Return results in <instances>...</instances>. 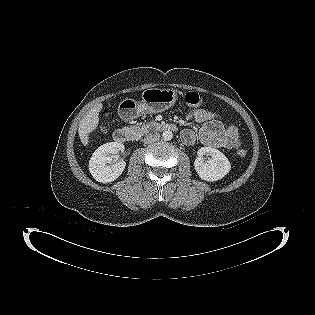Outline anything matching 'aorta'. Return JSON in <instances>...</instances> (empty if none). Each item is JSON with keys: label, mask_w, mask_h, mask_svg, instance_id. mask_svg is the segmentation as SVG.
<instances>
[{"label": "aorta", "mask_w": 315, "mask_h": 315, "mask_svg": "<svg viewBox=\"0 0 315 315\" xmlns=\"http://www.w3.org/2000/svg\"><path fill=\"white\" fill-rule=\"evenodd\" d=\"M164 140H171L173 138V134L170 130H166L162 134Z\"/></svg>", "instance_id": "aorta-1"}]
</instances>
